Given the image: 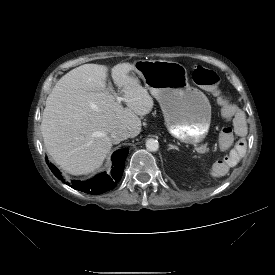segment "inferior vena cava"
<instances>
[{
  "mask_svg": "<svg viewBox=\"0 0 275 275\" xmlns=\"http://www.w3.org/2000/svg\"><path fill=\"white\" fill-rule=\"evenodd\" d=\"M113 143H119L122 140H125L130 137V133L127 128L121 127L115 129L111 133Z\"/></svg>",
  "mask_w": 275,
  "mask_h": 275,
  "instance_id": "inferior-vena-cava-1",
  "label": "inferior vena cava"
}]
</instances>
